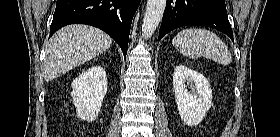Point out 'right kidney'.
I'll return each instance as SVG.
<instances>
[{"label": "right kidney", "mask_w": 280, "mask_h": 137, "mask_svg": "<svg viewBox=\"0 0 280 137\" xmlns=\"http://www.w3.org/2000/svg\"><path fill=\"white\" fill-rule=\"evenodd\" d=\"M72 100L81 120L94 121L100 112L107 93L105 69L93 66L84 70L72 82Z\"/></svg>", "instance_id": "1"}]
</instances>
